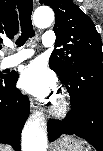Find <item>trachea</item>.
I'll use <instances>...</instances> for the list:
<instances>
[{
	"label": "trachea",
	"instance_id": "1",
	"mask_svg": "<svg viewBox=\"0 0 103 151\" xmlns=\"http://www.w3.org/2000/svg\"><path fill=\"white\" fill-rule=\"evenodd\" d=\"M17 6L19 11L20 25L22 36L19 37L16 44L17 46H22L26 40L35 35L33 30L31 15L33 11V0H17Z\"/></svg>",
	"mask_w": 103,
	"mask_h": 151
}]
</instances>
